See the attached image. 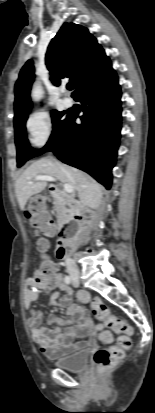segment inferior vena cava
Here are the masks:
<instances>
[{"instance_id": "inferior-vena-cava-1", "label": "inferior vena cava", "mask_w": 155, "mask_h": 413, "mask_svg": "<svg viewBox=\"0 0 155 413\" xmlns=\"http://www.w3.org/2000/svg\"><path fill=\"white\" fill-rule=\"evenodd\" d=\"M54 161L56 162V160H54ZM59 168H60V170L62 171L63 174H65L69 179H71L70 173L68 172V170L64 166L59 164ZM65 262H66V266H67L68 271L78 273V268H77V266L75 264V261L73 259L67 258Z\"/></svg>"}]
</instances>
